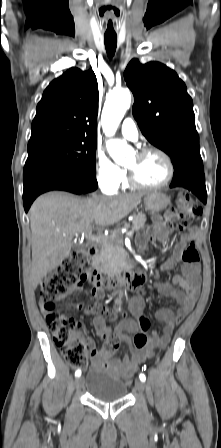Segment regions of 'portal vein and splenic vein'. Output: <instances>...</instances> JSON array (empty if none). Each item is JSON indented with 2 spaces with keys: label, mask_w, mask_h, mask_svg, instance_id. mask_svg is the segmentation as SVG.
<instances>
[{
  "label": "portal vein and splenic vein",
  "mask_w": 221,
  "mask_h": 448,
  "mask_svg": "<svg viewBox=\"0 0 221 448\" xmlns=\"http://www.w3.org/2000/svg\"><path fill=\"white\" fill-rule=\"evenodd\" d=\"M133 233H134L133 230H130V231H128L126 233V236L131 237L133 235ZM87 238H88L89 241H92V242H95V241L96 242H101V241H106L107 240L106 238H104L102 236L92 235L91 232H87Z\"/></svg>",
  "instance_id": "obj_1"
}]
</instances>
